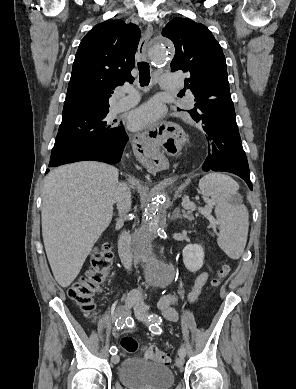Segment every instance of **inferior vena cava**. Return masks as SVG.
Listing matches in <instances>:
<instances>
[{
	"mask_svg": "<svg viewBox=\"0 0 296 389\" xmlns=\"http://www.w3.org/2000/svg\"><path fill=\"white\" fill-rule=\"evenodd\" d=\"M115 202L120 218H123L131 209V192L125 183H119L115 191ZM131 238L127 232H123L119 238L120 257L126 269H130L132 265V258L130 253ZM128 297L135 300H140L139 291L132 290Z\"/></svg>",
	"mask_w": 296,
	"mask_h": 389,
	"instance_id": "1",
	"label": "inferior vena cava"
}]
</instances>
